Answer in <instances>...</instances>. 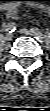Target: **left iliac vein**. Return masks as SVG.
<instances>
[{"label": "left iliac vein", "instance_id": "4c4485c4", "mask_svg": "<svg viewBox=\"0 0 50 111\" xmlns=\"http://www.w3.org/2000/svg\"><path fill=\"white\" fill-rule=\"evenodd\" d=\"M19 32H20V34L26 35V36H33L34 35L31 30L26 29V28L21 29Z\"/></svg>", "mask_w": 50, "mask_h": 111}]
</instances>
